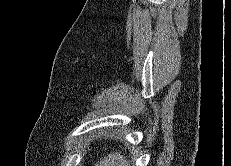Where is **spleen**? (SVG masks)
I'll list each match as a JSON object with an SVG mask.
<instances>
[{"instance_id":"1","label":"spleen","mask_w":231,"mask_h":166,"mask_svg":"<svg viewBox=\"0 0 231 166\" xmlns=\"http://www.w3.org/2000/svg\"><path fill=\"white\" fill-rule=\"evenodd\" d=\"M96 166H130V161L125 160L120 152H112Z\"/></svg>"}]
</instances>
